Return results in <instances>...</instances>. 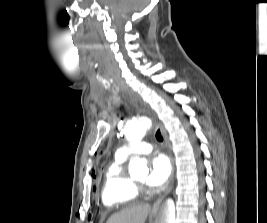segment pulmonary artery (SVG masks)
Returning <instances> with one entry per match:
<instances>
[{
	"label": "pulmonary artery",
	"mask_w": 267,
	"mask_h": 223,
	"mask_svg": "<svg viewBox=\"0 0 267 223\" xmlns=\"http://www.w3.org/2000/svg\"><path fill=\"white\" fill-rule=\"evenodd\" d=\"M153 145L149 142L142 143L138 146L124 145L122 146L117 154L121 157H128L134 154H146L151 152Z\"/></svg>",
	"instance_id": "e3ab8cb5"
}]
</instances>
